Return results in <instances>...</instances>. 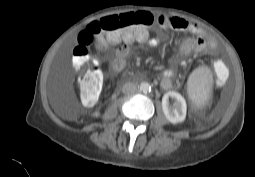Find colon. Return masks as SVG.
<instances>
[{
	"label": "colon",
	"instance_id": "obj_1",
	"mask_svg": "<svg viewBox=\"0 0 255 177\" xmlns=\"http://www.w3.org/2000/svg\"><path fill=\"white\" fill-rule=\"evenodd\" d=\"M155 23L162 26L160 19L156 21L148 12L126 13L91 22L78 34L72 58L74 65L82 70L79 91L83 103L94 104L99 98L102 85L101 72L90 65L92 62L90 47L95 42L99 45L133 42Z\"/></svg>",
	"mask_w": 255,
	"mask_h": 177
}]
</instances>
